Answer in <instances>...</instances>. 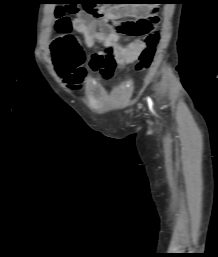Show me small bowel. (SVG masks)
Segmentation results:
<instances>
[{
  "label": "small bowel",
  "instance_id": "1",
  "mask_svg": "<svg viewBox=\"0 0 218 257\" xmlns=\"http://www.w3.org/2000/svg\"><path fill=\"white\" fill-rule=\"evenodd\" d=\"M134 7H116L108 11L119 13H138ZM72 27L84 37L86 46L97 50V44L103 45V51L88 52L89 68L79 67L71 74L63 76L69 88H76L88 73H98V78H115L119 68L136 62L147 47L146 40L134 38L122 43L121 36L109 21L108 15L95 17L88 11H81L72 22ZM119 67V68H118Z\"/></svg>",
  "mask_w": 218,
  "mask_h": 257
}]
</instances>
